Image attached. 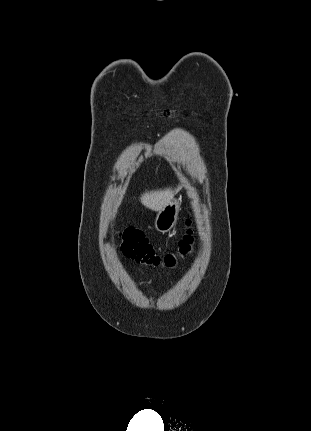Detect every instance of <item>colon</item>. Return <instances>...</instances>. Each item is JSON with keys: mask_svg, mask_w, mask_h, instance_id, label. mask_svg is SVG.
Segmentation results:
<instances>
[{"mask_svg": "<svg viewBox=\"0 0 311 431\" xmlns=\"http://www.w3.org/2000/svg\"><path fill=\"white\" fill-rule=\"evenodd\" d=\"M190 223L191 222L187 220L186 224L188 226ZM122 240L121 249L126 257L146 265H161L166 267L174 266L179 258L185 256L192 250L194 244V236L191 229L187 230L179 241L176 251L164 255L157 254L147 239L137 230H125L122 233Z\"/></svg>", "mask_w": 311, "mask_h": 431, "instance_id": "obj_1", "label": "colon"}]
</instances>
